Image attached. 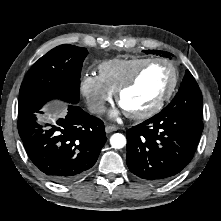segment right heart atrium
I'll return each instance as SVG.
<instances>
[{
  "instance_id": "right-heart-atrium-1",
  "label": "right heart atrium",
  "mask_w": 221,
  "mask_h": 221,
  "mask_svg": "<svg viewBox=\"0 0 221 221\" xmlns=\"http://www.w3.org/2000/svg\"><path fill=\"white\" fill-rule=\"evenodd\" d=\"M80 89L88 108L94 113H102L106 103L113 97V92L103 83L99 75L85 74Z\"/></svg>"
}]
</instances>
